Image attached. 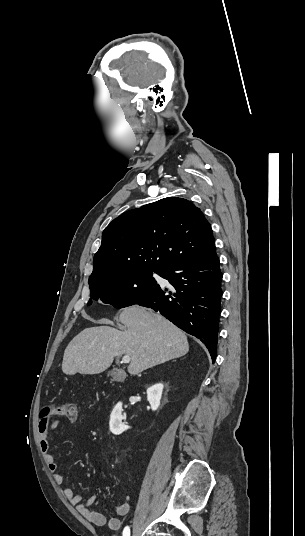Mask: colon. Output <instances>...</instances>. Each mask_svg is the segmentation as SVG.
Segmentation results:
<instances>
[{
	"mask_svg": "<svg viewBox=\"0 0 305 536\" xmlns=\"http://www.w3.org/2000/svg\"><path fill=\"white\" fill-rule=\"evenodd\" d=\"M58 405L63 407L64 412L62 415H67L69 421H75L77 419V409L73 403H62ZM40 415H43V412Z\"/></svg>",
	"mask_w": 305,
	"mask_h": 536,
	"instance_id": "5ec220e1",
	"label": "colon"
}]
</instances>
